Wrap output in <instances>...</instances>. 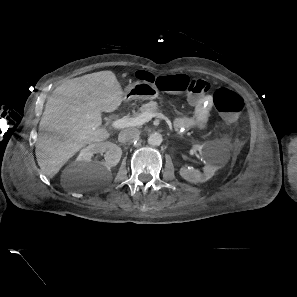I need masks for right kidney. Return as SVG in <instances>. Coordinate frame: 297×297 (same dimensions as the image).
Segmentation results:
<instances>
[{"instance_id": "ca27d5eb", "label": "right kidney", "mask_w": 297, "mask_h": 297, "mask_svg": "<svg viewBox=\"0 0 297 297\" xmlns=\"http://www.w3.org/2000/svg\"><path fill=\"white\" fill-rule=\"evenodd\" d=\"M96 153H105V161L92 163V157ZM121 155L122 150L118 145L111 142H101L90 144L86 148H83L80 151L78 160L83 162L85 165H89L93 171H98L101 167L110 170L119 163Z\"/></svg>"}]
</instances>
